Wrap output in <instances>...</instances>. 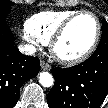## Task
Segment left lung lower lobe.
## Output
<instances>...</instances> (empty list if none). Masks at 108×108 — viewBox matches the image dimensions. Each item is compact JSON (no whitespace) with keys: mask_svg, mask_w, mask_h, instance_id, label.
<instances>
[{"mask_svg":"<svg viewBox=\"0 0 108 108\" xmlns=\"http://www.w3.org/2000/svg\"><path fill=\"white\" fill-rule=\"evenodd\" d=\"M55 84L49 91V108H99L108 96V50L96 49L83 63L53 68Z\"/></svg>","mask_w":108,"mask_h":108,"instance_id":"0a47b994","label":"left lung lower lobe"}]
</instances>
